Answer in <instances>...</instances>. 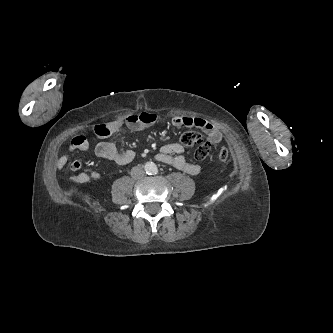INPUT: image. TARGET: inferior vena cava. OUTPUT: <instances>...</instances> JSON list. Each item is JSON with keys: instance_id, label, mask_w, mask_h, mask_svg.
I'll list each match as a JSON object with an SVG mask.
<instances>
[{"instance_id": "obj_1", "label": "inferior vena cava", "mask_w": 333, "mask_h": 333, "mask_svg": "<svg viewBox=\"0 0 333 333\" xmlns=\"http://www.w3.org/2000/svg\"><path fill=\"white\" fill-rule=\"evenodd\" d=\"M145 172L142 167L136 166L131 170V176L135 179H140L144 176Z\"/></svg>"}]
</instances>
